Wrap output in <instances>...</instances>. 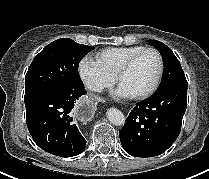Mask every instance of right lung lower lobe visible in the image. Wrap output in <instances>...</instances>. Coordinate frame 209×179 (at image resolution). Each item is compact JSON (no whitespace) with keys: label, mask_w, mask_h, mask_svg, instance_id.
Instances as JSON below:
<instances>
[{"label":"right lung lower lobe","mask_w":209,"mask_h":179,"mask_svg":"<svg viewBox=\"0 0 209 179\" xmlns=\"http://www.w3.org/2000/svg\"><path fill=\"white\" fill-rule=\"evenodd\" d=\"M86 93L84 85L55 90L26 109L28 130L41 149L60 157L83 152L86 140L73 120L72 109L76 100Z\"/></svg>","instance_id":"98d812e1"}]
</instances>
